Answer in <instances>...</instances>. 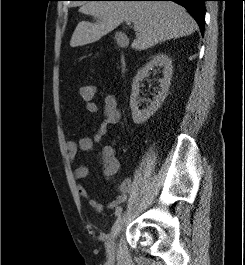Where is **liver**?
Listing matches in <instances>:
<instances>
[{
	"mask_svg": "<svg viewBox=\"0 0 245 265\" xmlns=\"http://www.w3.org/2000/svg\"><path fill=\"white\" fill-rule=\"evenodd\" d=\"M79 11L97 19L96 23L80 22L70 40L71 47L94 43L123 21L134 24L135 50H146L173 38L191 35L197 29L186 9L170 1H90Z\"/></svg>",
	"mask_w": 245,
	"mask_h": 265,
	"instance_id": "liver-1",
	"label": "liver"
}]
</instances>
